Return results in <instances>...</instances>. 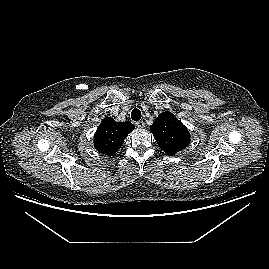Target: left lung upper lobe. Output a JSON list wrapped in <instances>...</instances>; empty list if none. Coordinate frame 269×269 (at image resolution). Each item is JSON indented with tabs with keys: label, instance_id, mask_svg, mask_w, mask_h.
<instances>
[{
	"label": "left lung upper lobe",
	"instance_id": "5c2ea615",
	"mask_svg": "<svg viewBox=\"0 0 269 269\" xmlns=\"http://www.w3.org/2000/svg\"><path fill=\"white\" fill-rule=\"evenodd\" d=\"M157 144L168 155H174L185 149L190 143L187 128L171 113L163 112L150 126Z\"/></svg>",
	"mask_w": 269,
	"mask_h": 269
}]
</instances>
